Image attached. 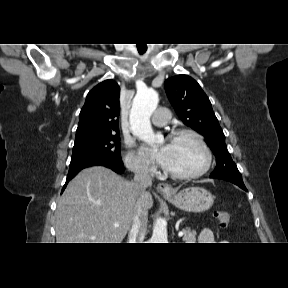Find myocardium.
<instances>
[{
	"label": "myocardium",
	"mask_w": 288,
	"mask_h": 288,
	"mask_svg": "<svg viewBox=\"0 0 288 288\" xmlns=\"http://www.w3.org/2000/svg\"><path fill=\"white\" fill-rule=\"evenodd\" d=\"M191 137L202 149L203 153H204V157H205V162L204 165L197 171L194 172H189V173H180V172H174L171 170L166 169L165 167H163V172L175 179H182V180H187V179H195L198 177L203 176L204 174H206L211 165H212V152L210 147L208 146V144L206 143L205 139L203 138V136L198 133L197 131L193 130V129H177L175 131H172L169 134V139L173 140V139H177V138H181V137Z\"/></svg>",
	"instance_id": "myocardium-1"
}]
</instances>
